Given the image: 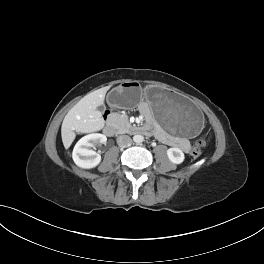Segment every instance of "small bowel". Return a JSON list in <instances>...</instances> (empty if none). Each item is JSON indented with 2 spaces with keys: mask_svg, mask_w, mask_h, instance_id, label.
I'll use <instances>...</instances> for the list:
<instances>
[{
  "mask_svg": "<svg viewBox=\"0 0 264 264\" xmlns=\"http://www.w3.org/2000/svg\"><path fill=\"white\" fill-rule=\"evenodd\" d=\"M156 135L160 140H162V141H164L170 145L179 146L184 151H187L189 149V144L184 139H172L165 132H163L160 129L156 130Z\"/></svg>",
  "mask_w": 264,
  "mask_h": 264,
  "instance_id": "c3829d8e",
  "label": "small bowel"
}]
</instances>
